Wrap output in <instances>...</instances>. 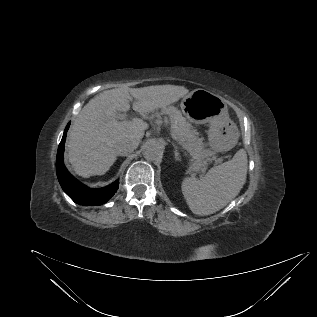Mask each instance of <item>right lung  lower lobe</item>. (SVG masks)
Returning a JSON list of instances; mask_svg holds the SVG:
<instances>
[{"label":"right lung lower lobe","mask_w":317,"mask_h":317,"mask_svg":"<svg viewBox=\"0 0 317 317\" xmlns=\"http://www.w3.org/2000/svg\"><path fill=\"white\" fill-rule=\"evenodd\" d=\"M70 124V123H69ZM69 124L66 126L58 147L56 171L59 183L64 192L80 205H101L106 203L117 191L119 180L99 189H91L74 178L66 169L63 162L64 144Z\"/></svg>","instance_id":"obj_1"}]
</instances>
